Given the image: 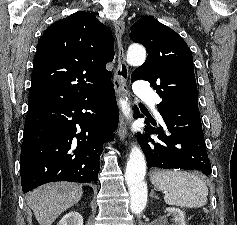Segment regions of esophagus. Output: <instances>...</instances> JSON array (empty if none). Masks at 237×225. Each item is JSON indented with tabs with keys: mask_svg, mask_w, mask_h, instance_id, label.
<instances>
[{
	"mask_svg": "<svg viewBox=\"0 0 237 225\" xmlns=\"http://www.w3.org/2000/svg\"><path fill=\"white\" fill-rule=\"evenodd\" d=\"M114 29H115L116 39H117V54H118L114 87L116 89L117 94L120 95V94H123V85L126 84V81L129 76L128 66L125 63L124 48H123V42H122V37L125 30L124 21L121 19L114 21ZM117 134L122 141L125 140L127 133H126L125 119L123 116H121L120 118Z\"/></svg>",
	"mask_w": 237,
	"mask_h": 225,
	"instance_id": "1",
	"label": "esophagus"
}]
</instances>
